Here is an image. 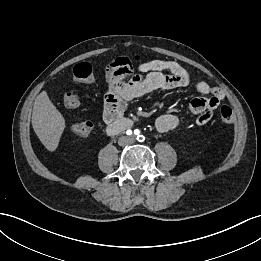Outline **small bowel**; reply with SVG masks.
Returning a JSON list of instances; mask_svg holds the SVG:
<instances>
[{
	"mask_svg": "<svg viewBox=\"0 0 261 261\" xmlns=\"http://www.w3.org/2000/svg\"><path fill=\"white\" fill-rule=\"evenodd\" d=\"M131 73V69L123 67L116 60L105 70L107 91L104 120L107 124L120 120L129 102L153 91L184 88L193 83L190 73L176 61L152 60L142 63L138 73L130 77ZM194 86L199 96L191 100L190 110L198 115L195 124L202 126L211 120L225 95L219 87L205 81H197ZM178 125L179 118L173 114H163L155 121L159 132L171 131Z\"/></svg>",
	"mask_w": 261,
	"mask_h": 261,
	"instance_id": "small-bowel-1",
	"label": "small bowel"
}]
</instances>
